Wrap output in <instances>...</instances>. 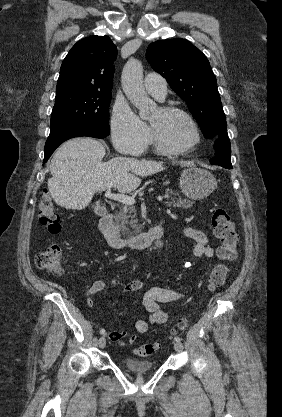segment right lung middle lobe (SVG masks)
<instances>
[{"mask_svg":"<svg viewBox=\"0 0 282 417\" xmlns=\"http://www.w3.org/2000/svg\"><path fill=\"white\" fill-rule=\"evenodd\" d=\"M110 91L71 90L56 93L50 131L81 124L109 134Z\"/></svg>","mask_w":282,"mask_h":417,"instance_id":"1","label":"right lung middle lobe"}]
</instances>
